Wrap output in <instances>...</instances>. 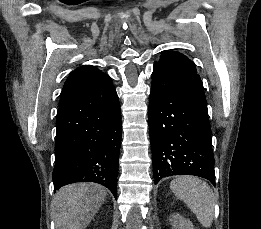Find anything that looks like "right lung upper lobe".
<instances>
[{
    "instance_id": "1",
    "label": "right lung upper lobe",
    "mask_w": 261,
    "mask_h": 229,
    "mask_svg": "<svg viewBox=\"0 0 261 229\" xmlns=\"http://www.w3.org/2000/svg\"><path fill=\"white\" fill-rule=\"evenodd\" d=\"M107 76L93 66H81L74 70L67 78L60 98V106L70 97L83 91L99 79Z\"/></svg>"
}]
</instances>
